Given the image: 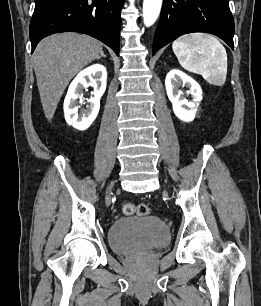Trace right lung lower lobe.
<instances>
[{"instance_id": "obj_1", "label": "right lung lower lobe", "mask_w": 261, "mask_h": 306, "mask_svg": "<svg viewBox=\"0 0 261 306\" xmlns=\"http://www.w3.org/2000/svg\"><path fill=\"white\" fill-rule=\"evenodd\" d=\"M123 5L124 0H35L30 22L32 53L44 37L75 31L97 38L119 55Z\"/></svg>"}]
</instances>
